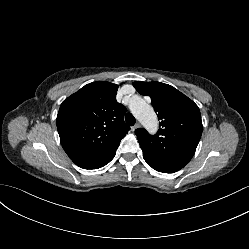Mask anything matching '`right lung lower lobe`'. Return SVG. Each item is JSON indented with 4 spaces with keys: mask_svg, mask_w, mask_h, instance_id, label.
Masks as SVG:
<instances>
[{
    "mask_svg": "<svg viewBox=\"0 0 249 249\" xmlns=\"http://www.w3.org/2000/svg\"><path fill=\"white\" fill-rule=\"evenodd\" d=\"M116 150L117 148L100 156L77 159L73 162L84 169H98L108 164L114 158Z\"/></svg>",
    "mask_w": 249,
    "mask_h": 249,
    "instance_id": "98d812e1",
    "label": "right lung lower lobe"
}]
</instances>
